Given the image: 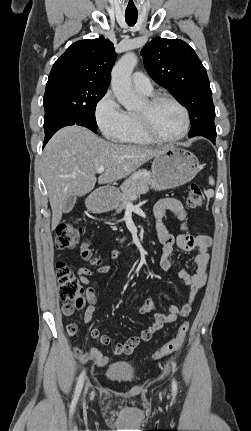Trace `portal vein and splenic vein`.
Returning <instances> with one entry per match:
<instances>
[{"label": "portal vein and splenic vein", "mask_w": 251, "mask_h": 431, "mask_svg": "<svg viewBox=\"0 0 251 431\" xmlns=\"http://www.w3.org/2000/svg\"><path fill=\"white\" fill-rule=\"evenodd\" d=\"M105 171V167L101 166L97 168V173H103ZM137 196H134L133 199H136Z\"/></svg>", "instance_id": "portal-vein-and-splenic-vein-1"}]
</instances>
